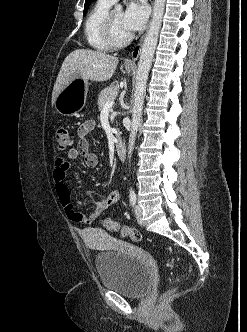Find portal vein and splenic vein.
I'll use <instances>...</instances> for the list:
<instances>
[{
	"instance_id": "portal-vein-and-splenic-vein-1",
	"label": "portal vein and splenic vein",
	"mask_w": 247,
	"mask_h": 332,
	"mask_svg": "<svg viewBox=\"0 0 247 332\" xmlns=\"http://www.w3.org/2000/svg\"><path fill=\"white\" fill-rule=\"evenodd\" d=\"M114 106V102L113 101H108L105 103V105L103 106L102 110H109Z\"/></svg>"
}]
</instances>
